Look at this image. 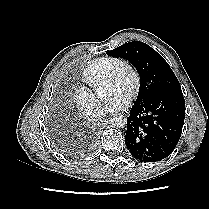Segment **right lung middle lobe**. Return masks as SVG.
Returning <instances> with one entry per match:
<instances>
[{
  "label": "right lung middle lobe",
  "instance_id": "1",
  "mask_svg": "<svg viewBox=\"0 0 209 209\" xmlns=\"http://www.w3.org/2000/svg\"><path fill=\"white\" fill-rule=\"evenodd\" d=\"M55 143L57 145V147L66 154H77V153H81L82 151H84L82 148H80V146H74L72 145V143L69 142L68 139L66 138H56Z\"/></svg>",
  "mask_w": 209,
  "mask_h": 209
}]
</instances>
